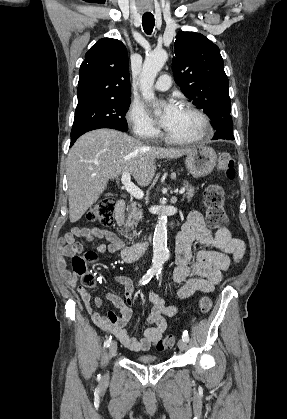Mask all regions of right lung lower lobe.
Wrapping results in <instances>:
<instances>
[{
	"instance_id": "1",
	"label": "right lung lower lobe",
	"mask_w": 287,
	"mask_h": 419,
	"mask_svg": "<svg viewBox=\"0 0 287 419\" xmlns=\"http://www.w3.org/2000/svg\"><path fill=\"white\" fill-rule=\"evenodd\" d=\"M75 142V141H74ZM74 142H71V146L74 144Z\"/></svg>"
}]
</instances>
